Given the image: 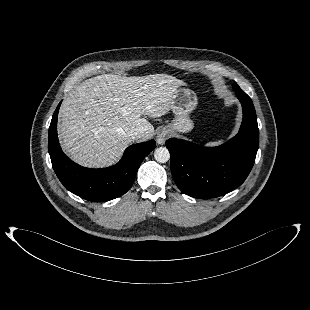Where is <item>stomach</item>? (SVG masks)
<instances>
[{
	"instance_id": "obj_1",
	"label": "stomach",
	"mask_w": 310,
	"mask_h": 310,
	"mask_svg": "<svg viewBox=\"0 0 310 310\" xmlns=\"http://www.w3.org/2000/svg\"><path fill=\"white\" fill-rule=\"evenodd\" d=\"M198 99L196 93L189 88H178L171 101L170 109L175 119L167 127L171 131L186 133L193 129L189 114L196 108Z\"/></svg>"
}]
</instances>
